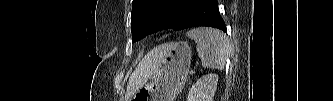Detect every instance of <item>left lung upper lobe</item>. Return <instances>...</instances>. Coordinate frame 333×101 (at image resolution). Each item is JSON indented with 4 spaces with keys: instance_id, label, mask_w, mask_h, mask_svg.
I'll return each mask as SVG.
<instances>
[{
    "instance_id": "obj_1",
    "label": "left lung upper lobe",
    "mask_w": 333,
    "mask_h": 101,
    "mask_svg": "<svg viewBox=\"0 0 333 101\" xmlns=\"http://www.w3.org/2000/svg\"><path fill=\"white\" fill-rule=\"evenodd\" d=\"M184 10L180 0H133L131 12L132 40L137 41L158 30H179Z\"/></svg>"
}]
</instances>
